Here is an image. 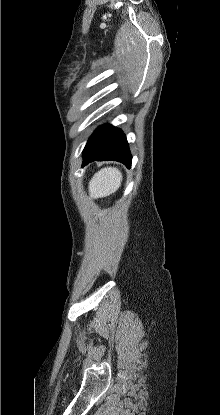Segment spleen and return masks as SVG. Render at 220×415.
<instances>
[{
    "label": "spleen",
    "instance_id": "1",
    "mask_svg": "<svg viewBox=\"0 0 220 415\" xmlns=\"http://www.w3.org/2000/svg\"><path fill=\"white\" fill-rule=\"evenodd\" d=\"M122 179V173L115 167L99 170L89 182L90 198H102L116 192Z\"/></svg>",
    "mask_w": 220,
    "mask_h": 415
}]
</instances>
